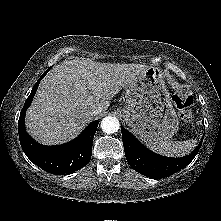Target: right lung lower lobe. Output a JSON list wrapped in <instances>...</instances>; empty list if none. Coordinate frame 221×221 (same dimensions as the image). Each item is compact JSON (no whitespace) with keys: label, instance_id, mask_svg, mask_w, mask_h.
I'll return each instance as SVG.
<instances>
[{"label":"right lung lower lobe","instance_id":"1","mask_svg":"<svg viewBox=\"0 0 221 221\" xmlns=\"http://www.w3.org/2000/svg\"><path fill=\"white\" fill-rule=\"evenodd\" d=\"M49 69L38 79L21 110L18 121L19 140L24 153L34 164L52 174H68L81 169L89 162L98 121L91 122L73 141L59 146L41 145L27 134L24 125L26 110L33 100L39 82Z\"/></svg>","mask_w":221,"mask_h":221}]
</instances>
